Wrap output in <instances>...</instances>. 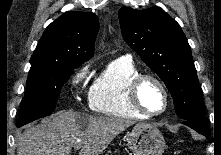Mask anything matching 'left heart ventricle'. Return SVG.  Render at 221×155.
Instances as JSON below:
<instances>
[{
	"instance_id": "obj_1",
	"label": "left heart ventricle",
	"mask_w": 221,
	"mask_h": 155,
	"mask_svg": "<svg viewBox=\"0 0 221 155\" xmlns=\"http://www.w3.org/2000/svg\"><path fill=\"white\" fill-rule=\"evenodd\" d=\"M142 105L151 112H158L164 107V96L161 89L152 81H145L140 89Z\"/></svg>"
}]
</instances>
